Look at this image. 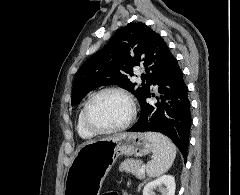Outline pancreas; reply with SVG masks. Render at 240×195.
Listing matches in <instances>:
<instances>
[{
	"label": "pancreas",
	"mask_w": 240,
	"mask_h": 195,
	"mask_svg": "<svg viewBox=\"0 0 240 195\" xmlns=\"http://www.w3.org/2000/svg\"><path fill=\"white\" fill-rule=\"evenodd\" d=\"M141 159H124L121 165H119L120 171H126V173H133L138 179H144L145 173H140Z\"/></svg>",
	"instance_id": "obj_1"
}]
</instances>
